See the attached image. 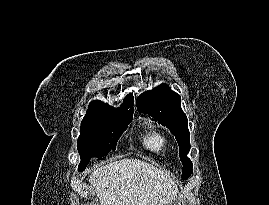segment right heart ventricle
I'll list each match as a JSON object with an SVG mask.
<instances>
[{
	"label": "right heart ventricle",
	"mask_w": 269,
	"mask_h": 205,
	"mask_svg": "<svg viewBox=\"0 0 269 205\" xmlns=\"http://www.w3.org/2000/svg\"><path fill=\"white\" fill-rule=\"evenodd\" d=\"M143 145L150 152L156 155H162L167 149V137L156 130H149L143 137Z\"/></svg>",
	"instance_id": "right-heart-ventricle-1"
}]
</instances>
